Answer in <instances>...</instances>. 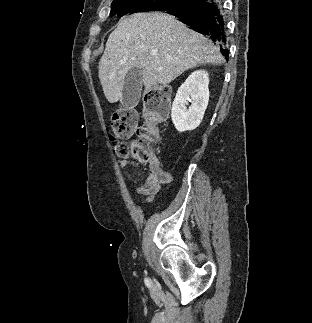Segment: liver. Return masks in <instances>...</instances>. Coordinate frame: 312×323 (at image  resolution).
<instances>
[{
	"mask_svg": "<svg viewBox=\"0 0 312 323\" xmlns=\"http://www.w3.org/2000/svg\"><path fill=\"white\" fill-rule=\"evenodd\" d=\"M218 46L163 12L131 14L110 34L99 62V80L110 104L119 102L128 70L141 68L146 90L167 86L189 68L224 64Z\"/></svg>",
	"mask_w": 312,
	"mask_h": 323,
	"instance_id": "obj_1",
	"label": "liver"
}]
</instances>
